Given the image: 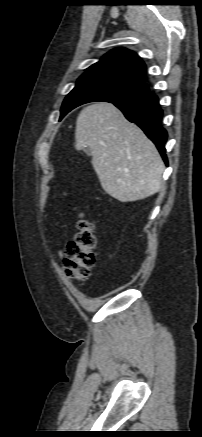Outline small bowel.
Wrapping results in <instances>:
<instances>
[{"label":"small bowel","mask_w":202,"mask_h":437,"mask_svg":"<svg viewBox=\"0 0 202 437\" xmlns=\"http://www.w3.org/2000/svg\"><path fill=\"white\" fill-rule=\"evenodd\" d=\"M59 259L62 257V250L58 251Z\"/></svg>","instance_id":"obj_1"}]
</instances>
